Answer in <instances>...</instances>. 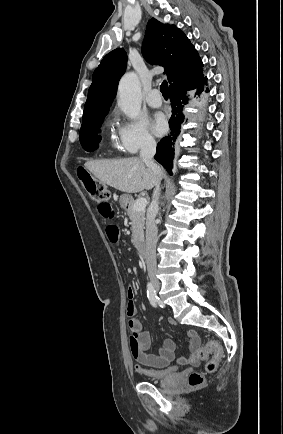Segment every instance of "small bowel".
Returning a JSON list of instances; mask_svg holds the SVG:
<instances>
[{"mask_svg":"<svg viewBox=\"0 0 283 434\" xmlns=\"http://www.w3.org/2000/svg\"><path fill=\"white\" fill-rule=\"evenodd\" d=\"M98 212L101 217L111 220L115 217V210L110 202L99 203ZM106 235L110 242L116 243L119 240V230L115 225H109L106 228ZM127 296L129 298L127 306L128 326L130 330V350L133 358L139 363L137 370L140 372L145 367L162 368L169 365L175 359V342L172 339H167L159 348L157 354L148 353L151 346V338L147 331H145L137 319V309L134 302V291L132 288L128 289ZM172 326H176L174 320H170ZM186 336L189 340L190 354L188 358L179 357L177 363L181 365L191 364L198 365L199 358L197 357V349L200 345V338L196 331L188 330Z\"/></svg>","mask_w":283,"mask_h":434,"instance_id":"small-bowel-1","label":"small bowel"}]
</instances>
